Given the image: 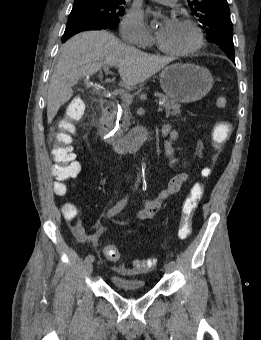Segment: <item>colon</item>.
<instances>
[{
    "instance_id": "5ec220e1",
    "label": "colon",
    "mask_w": 261,
    "mask_h": 340,
    "mask_svg": "<svg viewBox=\"0 0 261 340\" xmlns=\"http://www.w3.org/2000/svg\"><path fill=\"white\" fill-rule=\"evenodd\" d=\"M215 105L219 109H225L228 100L225 97H218ZM85 113V104L83 101L72 100L65 109V116L58 123L57 130L51 135V154L54 160L52 167V175L55 178L54 190L57 194L63 195L67 192L66 181L76 177L81 170L79 162L76 160L75 154L71 147V142L76 133V123L81 121ZM232 125L227 121L218 122L212 131V140L216 147L223 145L231 135ZM203 174L208 176L210 171L204 170ZM205 192V184L198 182L192 185L187 196L181 205V217L178 229V236L186 239L192 232L193 213L202 199ZM63 212L67 215L74 213V206L66 204ZM105 257L112 262H116L120 258V252L114 245H106L104 247ZM153 260L137 259L134 260V267L138 270L151 267ZM128 271V270H125Z\"/></svg>"
}]
</instances>
